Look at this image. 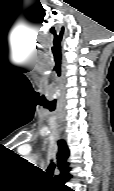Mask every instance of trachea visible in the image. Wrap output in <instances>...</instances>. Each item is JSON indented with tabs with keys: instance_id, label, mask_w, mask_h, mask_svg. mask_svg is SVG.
Returning a JSON list of instances; mask_svg holds the SVG:
<instances>
[{
	"instance_id": "obj_1",
	"label": "trachea",
	"mask_w": 114,
	"mask_h": 191,
	"mask_svg": "<svg viewBox=\"0 0 114 191\" xmlns=\"http://www.w3.org/2000/svg\"><path fill=\"white\" fill-rule=\"evenodd\" d=\"M54 108H50V111H53ZM54 168H55V165L53 162L50 163V165L48 166V169H47V172L52 175L53 174V171H54Z\"/></svg>"
}]
</instances>
